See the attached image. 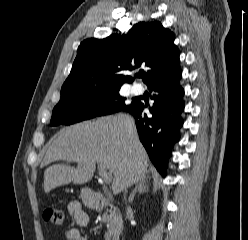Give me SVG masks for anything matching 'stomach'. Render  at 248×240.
Returning <instances> with one entry per match:
<instances>
[{"instance_id": "0dacf381", "label": "stomach", "mask_w": 248, "mask_h": 240, "mask_svg": "<svg viewBox=\"0 0 248 240\" xmlns=\"http://www.w3.org/2000/svg\"><path fill=\"white\" fill-rule=\"evenodd\" d=\"M81 197H82L83 199H86V196H85L84 192L81 193Z\"/></svg>"}]
</instances>
